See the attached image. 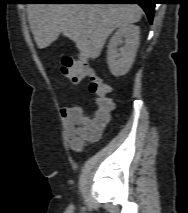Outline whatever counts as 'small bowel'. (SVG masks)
Returning a JSON list of instances; mask_svg holds the SVG:
<instances>
[{"instance_id":"1","label":"small bowel","mask_w":188,"mask_h":213,"mask_svg":"<svg viewBox=\"0 0 188 213\" xmlns=\"http://www.w3.org/2000/svg\"><path fill=\"white\" fill-rule=\"evenodd\" d=\"M61 114L67 125L69 146L73 150H80L86 141L97 140L107 124L89 119L85 116L84 110L78 106L63 108ZM71 130L76 131L73 136L69 135Z\"/></svg>"}]
</instances>
